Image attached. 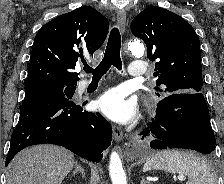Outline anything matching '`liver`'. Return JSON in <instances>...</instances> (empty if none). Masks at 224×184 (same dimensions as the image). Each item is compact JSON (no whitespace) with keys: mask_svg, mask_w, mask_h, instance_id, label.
Masks as SVG:
<instances>
[{"mask_svg":"<svg viewBox=\"0 0 224 184\" xmlns=\"http://www.w3.org/2000/svg\"><path fill=\"white\" fill-rule=\"evenodd\" d=\"M74 163V155L62 147L46 144L29 147L10 162L6 183L61 184Z\"/></svg>","mask_w":224,"mask_h":184,"instance_id":"6515ba94","label":"liver"}]
</instances>
